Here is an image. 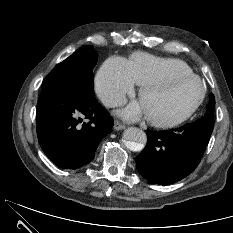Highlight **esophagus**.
<instances>
[{"label": "esophagus", "mask_w": 233, "mask_h": 233, "mask_svg": "<svg viewBox=\"0 0 233 233\" xmlns=\"http://www.w3.org/2000/svg\"><path fill=\"white\" fill-rule=\"evenodd\" d=\"M113 128L117 131L125 129V125L120 123L119 121L115 120L114 121V126Z\"/></svg>", "instance_id": "obj_1"}]
</instances>
